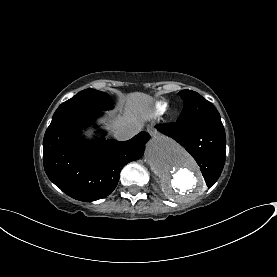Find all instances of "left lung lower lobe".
<instances>
[{
  "label": "left lung lower lobe",
  "instance_id": "0a47b994",
  "mask_svg": "<svg viewBox=\"0 0 277 277\" xmlns=\"http://www.w3.org/2000/svg\"><path fill=\"white\" fill-rule=\"evenodd\" d=\"M156 128L176 140L194 157L208 187L218 180L226 157V136L221 119L159 124Z\"/></svg>",
  "mask_w": 277,
  "mask_h": 277
}]
</instances>
